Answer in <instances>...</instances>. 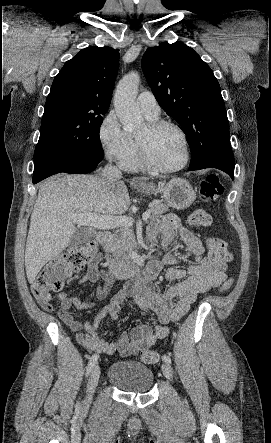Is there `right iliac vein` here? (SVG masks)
Segmentation results:
<instances>
[{"mask_svg": "<svg viewBox=\"0 0 271 443\" xmlns=\"http://www.w3.org/2000/svg\"><path fill=\"white\" fill-rule=\"evenodd\" d=\"M100 367L98 365H95L93 367V370L91 372V375L89 377L88 380V384H87V393H86V397L84 400V407L87 408L89 406V404L91 403L93 394L95 392V389L97 387L99 378H100Z\"/></svg>", "mask_w": 271, "mask_h": 443, "instance_id": "1", "label": "right iliac vein"}]
</instances>
